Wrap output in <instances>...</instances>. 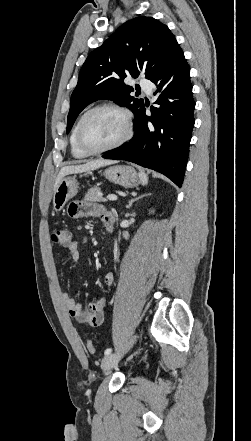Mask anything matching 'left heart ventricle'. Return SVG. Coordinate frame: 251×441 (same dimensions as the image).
I'll list each match as a JSON object with an SVG mask.
<instances>
[{"instance_id": "1", "label": "left heart ventricle", "mask_w": 251, "mask_h": 441, "mask_svg": "<svg viewBox=\"0 0 251 441\" xmlns=\"http://www.w3.org/2000/svg\"><path fill=\"white\" fill-rule=\"evenodd\" d=\"M124 130V120L120 113L101 109L91 113L84 121L82 140L88 148L100 149L117 141Z\"/></svg>"}]
</instances>
